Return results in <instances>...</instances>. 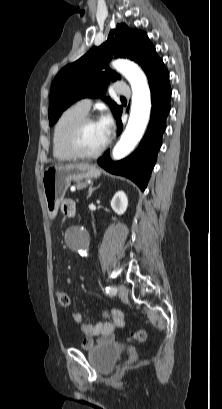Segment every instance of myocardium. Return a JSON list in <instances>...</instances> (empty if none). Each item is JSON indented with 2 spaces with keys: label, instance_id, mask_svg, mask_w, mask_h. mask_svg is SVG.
<instances>
[{
  "label": "myocardium",
  "instance_id": "f54148a6",
  "mask_svg": "<svg viewBox=\"0 0 222 409\" xmlns=\"http://www.w3.org/2000/svg\"><path fill=\"white\" fill-rule=\"evenodd\" d=\"M96 118L93 116L86 115L82 119H80L70 130L68 137H67V146L69 151L76 157L82 159H93L97 158L106 150L109 140H106L104 145L97 151L88 153L85 152L80 146V135L83 129L90 123L96 122Z\"/></svg>",
  "mask_w": 222,
  "mask_h": 409
}]
</instances>
